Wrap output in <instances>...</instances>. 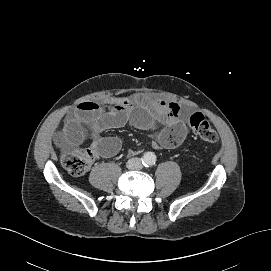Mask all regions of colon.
Returning a JSON list of instances; mask_svg holds the SVG:
<instances>
[{"mask_svg":"<svg viewBox=\"0 0 271 271\" xmlns=\"http://www.w3.org/2000/svg\"><path fill=\"white\" fill-rule=\"evenodd\" d=\"M188 122L195 135L204 142L213 144L218 141L217 132L202 113H191ZM95 157V151L90 148L76 149L63 156L62 165L71 175L81 176L89 170Z\"/></svg>","mask_w":271,"mask_h":271,"instance_id":"1","label":"colon"}]
</instances>
